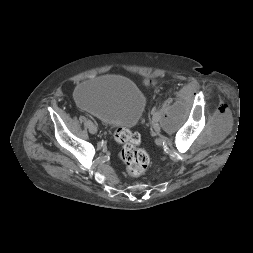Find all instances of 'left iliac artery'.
Segmentation results:
<instances>
[{
	"label": "left iliac artery",
	"instance_id": "1",
	"mask_svg": "<svg viewBox=\"0 0 253 253\" xmlns=\"http://www.w3.org/2000/svg\"><path fill=\"white\" fill-rule=\"evenodd\" d=\"M152 115H153V121H154V122H158V121L160 120V118H161V115H160L159 112H157V109H156V108H154V109L152 110Z\"/></svg>",
	"mask_w": 253,
	"mask_h": 253
}]
</instances>
